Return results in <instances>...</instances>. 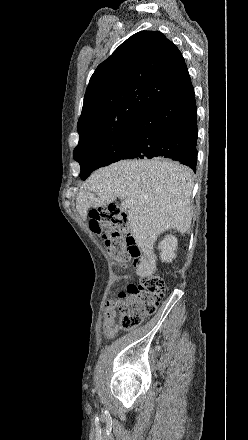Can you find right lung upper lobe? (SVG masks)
I'll list each match as a JSON object with an SVG mask.
<instances>
[{
	"label": "right lung upper lobe",
	"instance_id": "obj_1",
	"mask_svg": "<svg viewBox=\"0 0 248 440\" xmlns=\"http://www.w3.org/2000/svg\"><path fill=\"white\" fill-rule=\"evenodd\" d=\"M193 89L179 49L158 31H141L102 62L87 87L75 149L127 126L152 106Z\"/></svg>",
	"mask_w": 248,
	"mask_h": 440
}]
</instances>
